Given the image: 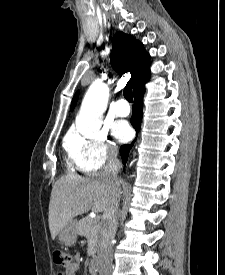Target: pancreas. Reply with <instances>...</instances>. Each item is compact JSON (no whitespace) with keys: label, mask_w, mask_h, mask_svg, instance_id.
Returning <instances> with one entry per match:
<instances>
[{"label":"pancreas","mask_w":225,"mask_h":275,"mask_svg":"<svg viewBox=\"0 0 225 275\" xmlns=\"http://www.w3.org/2000/svg\"><path fill=\"white\" fill-rule=\"evenodd\" d=\"M100 223L97 219L83 218L76 225L77 233L88 240V255L93 256L99 238Z\"/></svg>","instance_id":"obj_1"}]
</instances>
